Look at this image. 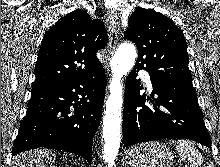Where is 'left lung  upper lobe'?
<instances>
[{
    "instance_id": "left-lung-upper-lobe-1",
    "label": "left lung upper lobe",
    "mask_w": 220,
    "mask_h": 167,
    "mask_svg": "<svg viewBox=\"0 0 220 167\" xmlns=\"http://www.w3.org/2000/svg\"><path fill=\"white\" fill-rule=\"evenodd\" d=\"M124 38L136 44V67L150 76L192 83L186 40L171 19L151 9L139 8L129 17Z\"/></svg>"
}]
</instances>
